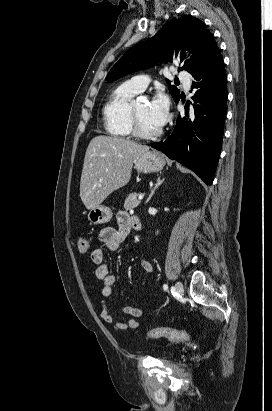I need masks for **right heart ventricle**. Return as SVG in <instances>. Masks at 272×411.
<instances>
[{
  "label": "right heart ventricle",
  "instance_id": "obj_1",
  "mask_svg": "<svg viewBox=\"0 0 272 411\" xmlns=\"http://www.w3.org/2000/svg\"><path fill=\"white\" fill-rule=\"evenodd\" d=\"M129 82L120 84L109 96L103 107L107 132L116 137L131 136L128 110L132 97L137 94Z\"/></svg>",
  "mask_w": 272,
  "mask_h": 411
}]
</instances>
